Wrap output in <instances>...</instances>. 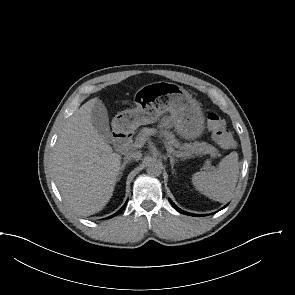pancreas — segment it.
<instances>
[{"label": "pancreas", "mask_w": 295, "mask_h": 295, "mask_svg": "<svg viewBox=\"0 0 295 295\" xmlns=\"http://www.w3.org/2000/svg\"><path fill=\"white\" fill-rule=\"evenodd\" d=\"M157 133H159L160 136H164L171 147L179 149L180 150L178 151L179 154L183 155L187 153L188 154L193 153L194 151H199V152L209 153L211 156H214V157L218 155V150L211 144H208L206 142H202V143L194 142L193 144L181 145L180 142L175 138V135L172 132H169L166 130L158 131L155 128L144 127L143 129H141L138 135L136 136V141L142 138L144 140H147L149 136L155 135Z\"/></svg>", "instance_id": "cf45deb5"}]
</instances>
